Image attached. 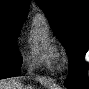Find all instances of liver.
Listing matches in <instances>:
<instances>
[{
	"label": "liver",
	"mask_w": 89,
	"mask_h": 89,
	"mask_svg": "<svg viewBox=\"0 0 89 89\" xmlns=\"http://www.w3.org/2000/svg\"><path fill=\"white\" fill-rule=\"evenodd\" d=\"M2 87H5L4 89H17V85L12 83H5Z\"/></svg>",
	"instance_id": "1"
}]
</instances>
